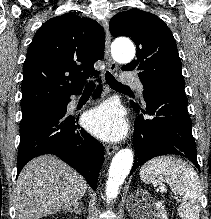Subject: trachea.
<instances>
[{"mask_svg":"<svg viewBox=\"0 0 211 219\" xmlns=\"http://www.w3.org/2000/svg\"><path fill=\"white\" fill-rule=\"evenodd\" d=\"M105 79H106V82L108 83V85L112 88V89H115V90H126V89H130L129 86H126V85H123L121 84L120 82H118L114 76L109 72L107 71L106 74H105ZM95 88V84L94 83H88L85 87V90L84 92H92Z\"/></svg>","mask_w":211,"mask_h":219,"instance_id":"1","label":"trachea"}]
</instances>
